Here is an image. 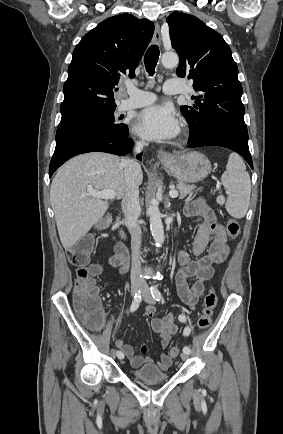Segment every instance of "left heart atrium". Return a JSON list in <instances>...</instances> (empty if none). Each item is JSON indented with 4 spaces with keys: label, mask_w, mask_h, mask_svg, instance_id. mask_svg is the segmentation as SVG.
Returning a JSON list of instances; mask_svg holds the SVG:
<instances>
[{
    "label": "left heart atrium",
    "mask_w": 283,
    "mask_h": 434,
    "mask_svg": "<svg viewBox=\"0 0 283 434\" xmlns=\"http://www.w3.org/2000/svg\"><path fill=\"white\" fill-rule=\"evenodd\" d=\"M134 129L146 139L167 140L179 133L180 122L171 105L159 104L141 111L136 118Z\"/></svg>",
    "instance_id": "1"
}]
</instances>
